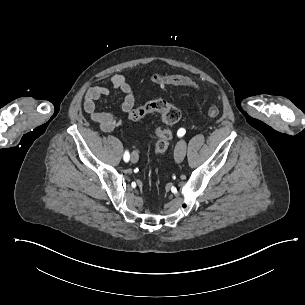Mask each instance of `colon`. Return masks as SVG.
Here are the masks:
<instances>
[{
  "label": "colon",
  "mask_w": 305,
  "mask_h": 305,
  "mask_svg": "<svg viewBox=\"0 0 305 305\" xmlns=\"http://www.w3.org/2000/svg\"><path fill=\"white\" fill-rule=\"evenodd\" d=\"M149 82L154 83L156 86L161 85L166 88L169 86L176 87L178 84L179 87L187 90L192 89L194 86L192 79L185 76L181 77L179 74H174L173 76L168 74L167 76L162 73H152ZM150 113H158L161 115V123L155 129L157 140L154 145V154L160 155L168 150L173 139V134L168 127L179 121L181 113L177 107L171 105L166 100L157 99L134 108L129 112L128 118L130 121L136 122ZM208 114L211 117H217L219 115V109L212 104L208 108Z\"/></svg>",
  "instance_id": "obj_1"
}]
</instances>
